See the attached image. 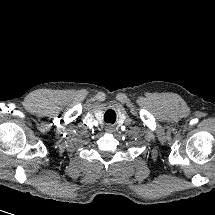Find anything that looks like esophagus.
<instances>
[{
	"label": "esophagus",
	"mask_w": 215,
	"mask_h": 215,
	"mask_svg": "<svg viewBox=\"0 0 215 215\" xmlns=\"http://www.w3.org/2000/svg\"><path fill=\"white\" fill-rule=\"evenodd\" d=\"M106 131H107V132H112V131H113V128H112L111 126H108V127L106 128Z\"/></svg>",
	"instance_id": "obj_1"
}]
</instances>
